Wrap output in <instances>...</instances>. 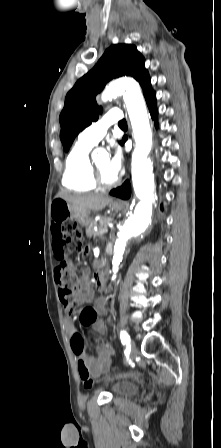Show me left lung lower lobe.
<instances>
[{
  "label": "left lung lower lobe",
  "instance_id": "left-lung-lower-lobe-1",
  "mask_svg": "<svg viewBox=\"0 0 221 448\" xmlns=\"http://www.w3.org/2000/svg\"><path fill=\"white\" fill-rule=\"evenodd\" d=\"M148 108L150 110L151 117L157 119V109H156V94L153 90L149 89L144 93ZM157 126V125H156ZM125 141V140H124ZM110 194L121 199H128L131 195V186L128 181H126L121 187L110 191Z\"/></svg>",
  "mask_w": 221,
  "mask_h": 448
}]
</instances>
